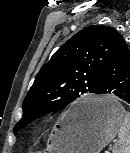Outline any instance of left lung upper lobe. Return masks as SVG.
<instances>
[{"instance_id": "obj_1", "label": "left lung upper lobe", "mask_w": 130, "mask_h": 153, "mask_svg": "<svg viewBox=\"0 0 130 153\" xmlns=\"http://www.w3.org/2000/svg\"><path fill=\"white\" fill-rule=\"evenodd\" d=\"M122 39L110 26H88L70 38L38 72L13 131L82 100L84 94H97L104 68Z\"/></svg>"}]
</instances>
